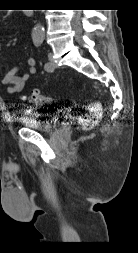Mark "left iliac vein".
<instances>
[{
  "label": "left iliac vein",
  "instance_id": "1",
  "mask_svg": "<svg viewBox=\"0 0 138 253\" xmlns=\"http://www.w3.org/2000/svg\"><path fill=\"white\" fill-rule=\"evenodd\" d=\"M48 60H49V64H50V70L49 71L56 69L57 65L54 62L52 53L48 54Z\"/></svg>",
  "mask_w": 138,
  "mask_h": 253
}]
</instances>
